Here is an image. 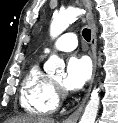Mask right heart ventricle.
Instances as JSON below:
<instances>
[{
  "instance_id": "obj_1",
  "label": "right heart ventricle",
  "mask_w": 118,
  "mask_h": 123,
  "mask_svg": "<svg viewBox=\"0 0 118 123\" xmlns=\"http://www.w3.org/2000/svg\"><path fill=\"white\" fill-rule=\"evenodd\" d=\"M22 108L34 115L53 113L59 100L52 80L41 70L40 60L34 62L26 72L20 88Z\"/></svg>"
}]
</instances>
